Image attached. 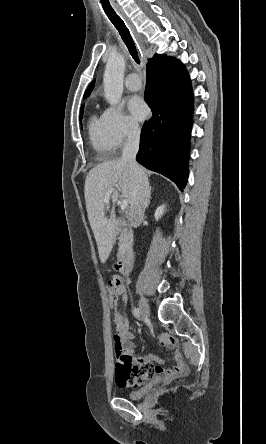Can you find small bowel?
Segmentation results:
<instances>
[{"instance_id": "obj_1", "label": "small bowel", "mask_w": 266, "mask_h": 444, "mask_svg": "<svg viewBox=\"0 0 266 444\" xmlns=\"http://www.w3.org/2000/svg\"><path fill=\"white\" fill-rule=\"evenodd\" d=\"M112 279L122 283L117 276ZM120 296L124 302H127L128 297L123 283ZM113 321L116 326V334L113 338L116 356L115 380L119 387L136 388L157 376H163L166 381H170L187 373V368L179 352L175 353L172 358L170 368H165V362L155 355L135 357L133 333L128 318L117 311L113 314ZM159 340L162 346L167 349H172L175 346L174 340L167 335L161 336Z\"/></svg>"}]
</instances>
